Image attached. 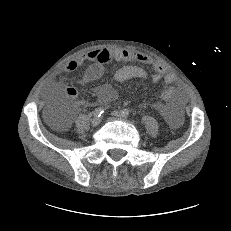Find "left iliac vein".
I'll use <instances>...</instances> for the list:
<instances>
[{"label": "left iliac vein", "instance_id": "1", "mask_svg": "<svg viewBox=\"0 0 231 231\" xmlns=\"http://www.w3.org/2000/svg\"><path fill=\"white\" fill-rule=\"evenodd\" d=\"M112 115L119 120H123L125 121V117L123 116V114L120 111H113Z\"/></svg>", "mask_w": 231, "mask_h": 231}]
</instances>
